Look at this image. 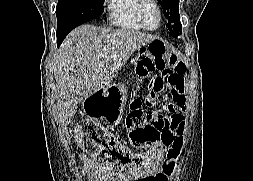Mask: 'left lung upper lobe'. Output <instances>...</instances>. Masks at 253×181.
Returning <instances> with one entry per match:
<instances>
[{
  "instance_id": "1",
  "label": "left lung upper lobe",
  "mask_w": 253,
  "mask_h": 181,
  "mask_svg": "<svg viewBox=\"0 0 253 181\" xmlns=\"http://www.w3.org/2000/svg\"><path fill=\"white\" fill-rule=\"evenodd\" d=\"M163 8L164 15L168 19L167 27L173 37L178 38L182 25L179 15V0H158Z\"/></svg>"
}]
</instances>
